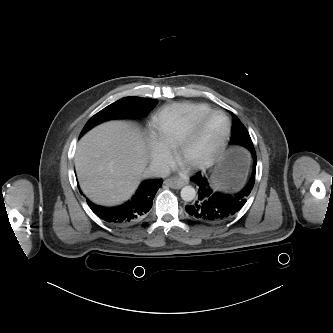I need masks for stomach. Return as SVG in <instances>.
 <instances>
[{"label":"stomach","instance_id":"obj_1","mask_svg":"<svg viewBox=\"0 0 333 333\" xmlns=\"http://www.w3.org/2000/svg\"><path fill=\"white\" fill-rule=\"evenodd\" d=\"M249 163L248 154L240 149L227 152L219 160L213 174V182L220 189L236 191L239 188Z\"/></svg>","mask_w":333,"mask_h":333}]
</instances>
